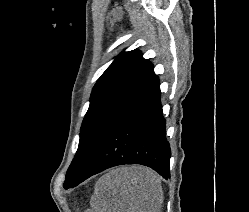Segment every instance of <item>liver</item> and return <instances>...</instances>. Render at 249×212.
<instances>
[{
    "label": "liver",
    "mask_w": 249,
    "mask_h": 212,
    "mask_svg": "<svg viewBox=\"0 0 249 212\" xmlns=\"http://www.w3.org/2000/svg\"><path fill=\"white\" fill-rule=\"evenodd\" d=\"M161 180L145 166H121L98 180L91 212H160Z\"/></svg>",
    "instance_id": "obj_1"
}]
</instances>
